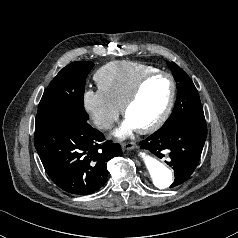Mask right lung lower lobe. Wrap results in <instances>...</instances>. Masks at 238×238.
I'll list each match as a JSON object with an SVG mask.
<instances>
[{"mask_svg": "<svg viewBox=\"0 0 238 238\" xmlns=\"http://www.w3.org/2000/svg\"><path fill=\"white\" fill-rule=\"evenodd\" d=\"M84 120L48 123L35 128L34 144L51 180L70 194L87 195L107 181V162L122 154L119 144Z\"/></svg>", "mask_w": 238, "mask_h": 238, "instance_id": "1", "label": "right lung lower lobe"}]
</instances>
